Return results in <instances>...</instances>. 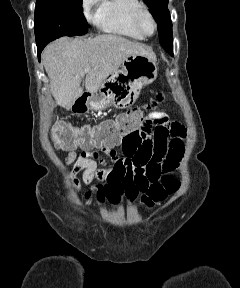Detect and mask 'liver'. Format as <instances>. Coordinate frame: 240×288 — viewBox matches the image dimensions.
<instances>
[{
  "instance_id": "liver-1",
  "label": "liver",
  "mask_w": 240,
  "mask_h": 288,
  "mask_svg": "<svg viewBox=\"0 0 240 288\" xmlns=\"http://www.w3.org/2000/svg\"><path fill=\"white\" fill-rule=\"evenodd\" d=\"M132 54L156 58L141 44L111 34L73 40L61 37L49 43L42 60L56 103L69 110L83 93L81 82L85 74L86 92L97 93L102 83ZM86 68L89 71L84 73Z\"/></svg>"
}]
</instances>
